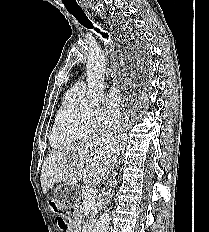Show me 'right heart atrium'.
<instances>
[{"instance_id": "d8ad5b80", "label": "right heart atrium", "mask_w": 209, "mask_h": 232, "mask_svg": "<svg viewBox=\"0 0 209 232\" xmlns=\"http://www.w3.org/2000/svg\"><path fill=\"white\" fill-rule=\"evenodd\" d=\"M118 119L116 111H106L98 115L94 122L98 128L104 129L112 125Z\"/></svg>"}]
</instances>
